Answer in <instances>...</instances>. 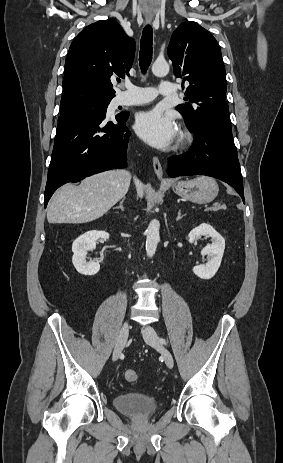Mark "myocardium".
I'll list each match as a JSON object with an SVG mask.
<instances>
[{"label":"myocardium","mask_w":283,"mask_h":463,"mask_svg":"<svg viewBox=\"0 0 283 463\" xmlns=\"http://www.w3.org/2000/svg\"><path fill=\"white\" fill-rule=\"evenodd\" d=\"M192 140L191 134L186 129H180L178 133V145L184 146Z\"/></svg>","instance_id":"1"}]
</instances>
